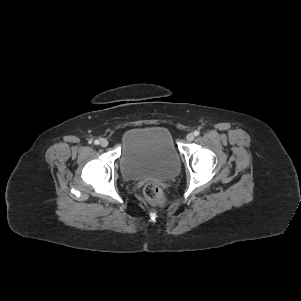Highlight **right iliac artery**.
<instances>
[{
    "mask_svg": "<svg viewBox=\"0 0 301 301\" xmlns=\"http://www.w3.org/2000/svg\"><path fill=\"white\" fill-rule=\"evenodd\" d=\"M94 144H95V145H98V144H99V141H98V140H95V141H94Z\"/></svg>",
    "mask_w": 301,
    "mask_h": 301,
    "instance_id": "right-iliac-artery-1",
    "label": "right iliac artery"
}]
</instances>
